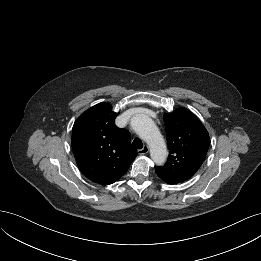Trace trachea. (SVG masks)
<instances>
[{"label": "trachea", "instance_id": "trachea-1", "mask_svg": "<svg viewBox=\"0 0 261 261\" xmlns=\"http://www.w3.org/2000/svg\"><path fill=\"white\" fill-rule=\"evenodd\" d=\"M132 146H133L134 148H136V149H142L143 144H142V142H141L140 139L135 138V139L133 140Z\"/></svg>", "mask_w": 261, "mask_h": 261}]
</instances>
